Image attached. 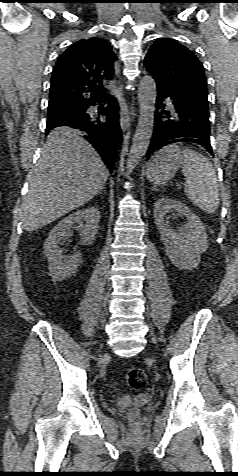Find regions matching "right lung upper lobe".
I'll use <instances>...</instances> for the list:
<instances>
[{"instance_id": "cb5924a9", "label": "right lung upper lobe", "mask_w": 238, "mask_h": 476, "mask_svg": "<svg viewBox=\"0 0 238 476\" xmlns=\"http://www.w3.org/2000/svg\"><path fill=\"white\" fill-rule=\"evenodd\" d=\"M115 60L111 46L98 37L72 44L53 69L48 107L88 108L106 97L102 81L113 76Z\"/></svg>"}]
</instances>
